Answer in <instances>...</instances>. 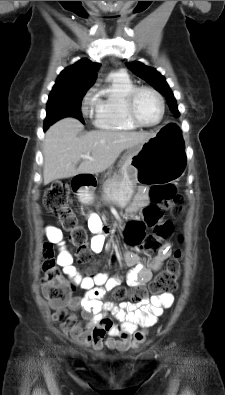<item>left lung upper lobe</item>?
<instances>
[{"mask_svg":"<svg viewBox=\"0 0 225 395\" xmlns=\"http://www.w3.org/2000/svg\"><path fill=\"white\" fill-rule=\"evenodd\" d=\"M126 66L134 74L147 81L157 91L163 94L167 100L170 110L175 116H179L180 113L178 111L176 99L174 98L173 92L171 91L165 78L158 71L137 61H134L132 63H126Z\"/></svg>","mask_w":225,"mask_h":395,"instance_id":"1","label":"left lung upper lobe"}]
</instances>
